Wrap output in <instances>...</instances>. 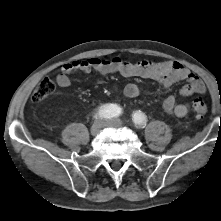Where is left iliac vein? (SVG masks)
<instances>
[{
  "instance_id": "left-iliac-vein-1",
  "label": "left iliac vein",
  "mask_w": 221,
  "mask_h": 221,
  "mask_svg": "<svg viewBox=\"0 0 221 221\" xmlns=\"http://www.w3.org/2000/svg\"><path fill=\"white\" fill-rule=\"evenodd\" d=\"M105 126H112V127H120L122 126V121L120 119H111L107 120Z\"/></svg>"
}]
</instances>
